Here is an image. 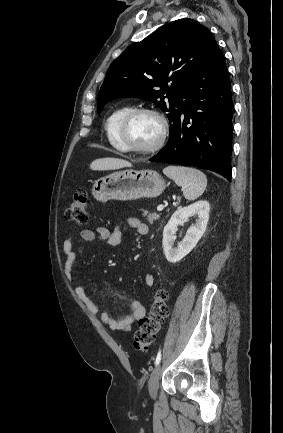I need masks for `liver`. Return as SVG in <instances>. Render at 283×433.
I'll return each instance as SVG.
<instances>
[{
	"label": "liver",
	"instance_id": "obj_1",
	"mask_svg": "<svg viewBox=\"0 0 283 433\" xmlns=\"http://www.w3.org/2000/svg\"><path fill=\"white\" fill-rule=\"evenodd\" d=\"M124 166H132L129 160L123 158H96L90 164L92 170H115V168H124Z\"/></svg>",
	"mask_w": 283,
	"mask_h": 433
}]
</instances>
